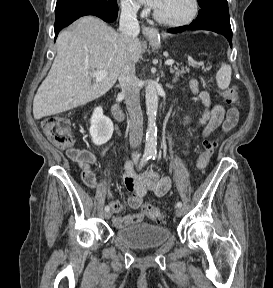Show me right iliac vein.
<instances>
[{"mask_svg": "<svg viewBox=\"0 0 273 288\" xmlns=\"http://www.w3.org/2000/svg\"><path fill=\"white\" fill-rule=\"evenodd\" d=\"M104 216H105V219H109L111 217V212L110 211H106Z\"/></svg>", "mask_w": 273, "mask_h": 288, "instance_id": "obj_1", "label": "right iliac vein"}]
</instances>
